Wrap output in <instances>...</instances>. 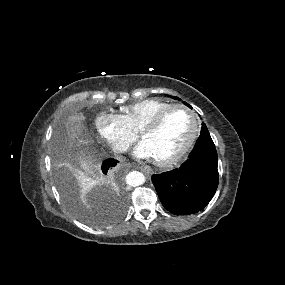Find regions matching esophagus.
Instances as JSON below:
<instances>
[{
	"label": "esophagus",
	"mask_w": 285,
	"mask_h": 285,
	"mask_svg": "<svg viewBox=\"0 0 285 285\" xmlns=\"http://www.w3.org/2000/svg\"><path fill=\"white\" fill-rule=\"evenodd\" d=\"M143 172H145L146 174H151L152 173V169L148 166H143L140 168Z\"/></svg>",
	"instance_id": "obj_1"
}]
</instances>
